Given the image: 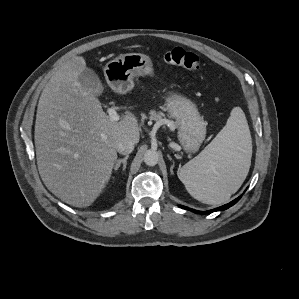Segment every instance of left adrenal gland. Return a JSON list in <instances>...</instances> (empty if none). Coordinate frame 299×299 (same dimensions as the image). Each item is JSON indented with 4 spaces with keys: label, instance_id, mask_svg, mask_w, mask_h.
Listing matches in <instances>:
<instances>
[{
    "label": "left adrenal gland",
    "instance_id": "obj_1",
    "mask_svg": "<svg viewBox=\"0 0 299 299\" xmlns=\"http://www.w3.org/2000/svg\"><path fill=\"white\" fill-rule=\"evenodd\" d=\"M173 167H174V165H172L171 168H170L171 172H173Z\"/></svg>",
    "mask_w": 299,
    "mask_h": 299
}]
</instances>
